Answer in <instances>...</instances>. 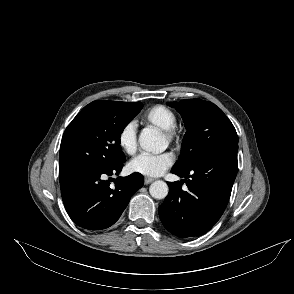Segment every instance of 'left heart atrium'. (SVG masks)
Instances as JSON below:
<instances>
[{"instance_id":"1","label":"left heart atrium","mask_w":294,"mask_h":294,"mask_svg":"<svg viewBox=\"0 0 294 294\" xmlns=\"http://www.w3.org/2000/svg\"><path fill=\"white\" fill-rule=\"evenodd\" d=\"M173 164V156L164 152L161 154H140L128 163L130 172L144 176L156 177L161 175Z\"/></svg>"}]
</instances>
